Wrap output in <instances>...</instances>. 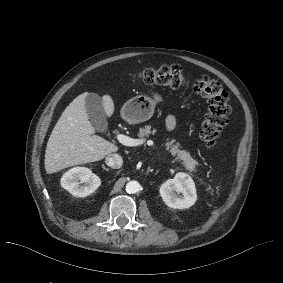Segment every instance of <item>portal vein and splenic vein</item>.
<instances>
[{
  "label": "portal vein and splenic vein",
  "instance_id": "portal-vein-and-splenic-vein-1",
  "mask_svg": "<svg viewBox=\"0 0 283 283\" xmlns=\"http://www.w3.org/2000/svg\"><path fill=\"white\" fill-rule=\"evenodd\" d=\"M119 141L124 146H128V147H140L145 143L148 146H151L153 144L151 140H147L146 138H132L124 135L119 136Z\"/></svg>",
  "mask_w": 283,
  "mask_h": 283
}]
</instances>
